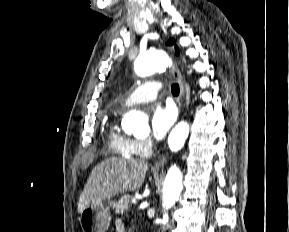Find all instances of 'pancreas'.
I'll return each instance as SVG.
<instances>
[{
    "mask_svg": "<svg viewBox=\"0 0 289 232\" xmlns=\"http://www.w3.org/2000/svg\"><path fill=\"white\" fill-rule=\"evenodd\" d=\"M133 197L129 194H125L121 197V199L115 203V212L117 214H122L124 211L129 210L130 208V200Z\"/></svg>",
    "mask_w": 289,
    "mask_h": 232,
    "instance_id": "1",
    "label": "pancreas"
}]
</instances>
